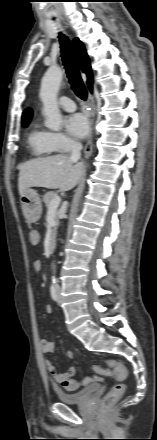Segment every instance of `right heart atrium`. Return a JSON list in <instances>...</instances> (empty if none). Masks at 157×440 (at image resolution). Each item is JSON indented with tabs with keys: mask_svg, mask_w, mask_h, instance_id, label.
Masks as SVG:
<instances>
[{
	"mask_svg": "<svg viewBox=\"0 0 157 440\" xmlns=\"http://www.w3.org/2000/svg\"><path fill=\"white\" fill-rule=\"evenodd\" d=\"M50 139L55 150L67 151L75 145V142L63 133L51 132Z\"/></svg>",
	"mask_w": 157,
	"mask_h": 440,
	"instance_id": "right-heart-atrium-1",
	"label": "right heart atrium"
}]
</instances>
